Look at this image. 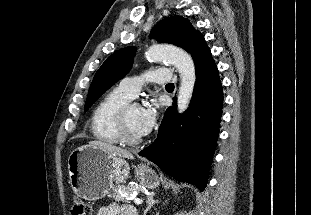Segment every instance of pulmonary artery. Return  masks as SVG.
Wrapping results in <instances>:
<instances>
[{
	"mask_svg": "<svg viewBox=\"0 0 311 215\" xmlns=\"http://www.w3.org/2000/svg\"><path fill=\"white\" fill-rule=\"evenodd\" d=\"M171 81V72L166 68L149 70L143 75L127 77L120 81L117 89L124 95L133 99L137 96L145 82H154L158 84Z\"/></svg>",
	"mask_w": 311,
	"mask_h": 215,
	"instance_id": "obj_1",
	"label": "pulmonary artery"
}]
</instances>
